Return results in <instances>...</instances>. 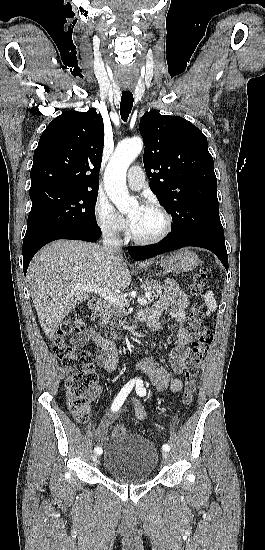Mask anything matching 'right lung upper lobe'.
Masks as SVG:
<instances>
[{
    "instance_id": "cb5924a9",
    "label": "right lung upper lobe",
    "mask_w": 265,
    "mask_h": 550,
    "mask_svg": "<svg viewBox=\"0 0 265 550\" xmlns=\"http://www.w3.org/2000/svg\"><path fill=\"white\" fill-rule=\"evenodd\" d=\"M103 119L94 109L65 112L42 133L30 171L31 188L98 192Z\"/></svg>"
}]
</instances>
